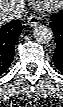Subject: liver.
<instances>
[{
	"mask_svg": "<svg viewBox=\"0 0 63 107\" xmlns=\"http://www.w3.org/2000/svg\"><path fill=\"white\" fill-rule=\"evenodd\" d=\"M2 1V0H1ZM4 1H6V0H4ZM9 1V0H8ZM1 4V3H0ZM6 21H8V20H5V19H1V17H0V23L1 24H3V23H5Z\"/></svg>",
	"mask_w": 63,
	"mask_h": 107,
	"instance_id": "liver-1",
	"label": "liver"
}]
</instances>
